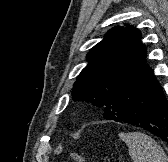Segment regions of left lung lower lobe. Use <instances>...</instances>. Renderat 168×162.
<instances>
[{
  "instance_id": "left-lung-lower-lobe-1",
  "label": "left lung lower lobe",
  "mask_w": 168,
  "mask_h": 162,
  "mask_svg": "<svg viewBox=\"0 0 168 162\" xmlns=\"http://www.w3.org/2000/svg\"><path fill=\"white\" fill-rule=\"evenodd\" d=\"M103 117L142 127L168 144V101L145 63L109 96Z\"/></svg>"
}]
</instances>
